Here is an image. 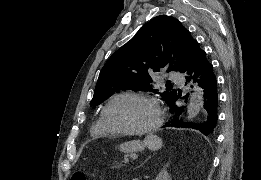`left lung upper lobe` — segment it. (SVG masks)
<instances>
[{
	"label": "left lung upper lobe",
	"instance_id": "5c2ea615",
	"mask_svg": "<svg viewBox=\"0 0 261 180\" xmlns=\"http://www.w3.org/2000/svg\"><path fill=\"white\" fill-rule=\"evenodd\" d=\"M196 44L197 41L177 19L165 15L155 17L105 63L90 106L99 105L119 90L156 93L157 90L150 86V74L164 67L172 54L178 60L168 71L181 72ZM175 95L176 90L167 86L161 94L167 104Z\"/></svg>",
	"mask_w": 261,
	"mask_h": 180
}]
</instances>
